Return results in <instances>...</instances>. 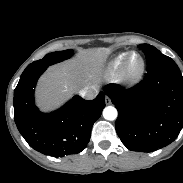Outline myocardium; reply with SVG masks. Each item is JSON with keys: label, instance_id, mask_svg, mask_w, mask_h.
I'll list each match as a JSON object with an SVG mask.
<instances>
[{"label": "myocardium", "instance_id": "obj_1", "mask_svg": "<svg viewBox=\"0 0 183 183\" xmlns=\"http://www.w3.org/2000/svg\"><path fill=\"white\" fill-rule=\"evenodd\" d=\"M136 56L139 59V64L135 69L130 67L132 57ZM145 72V60L143 56L137 51H131L127 54L125 60L120 68L118 79L126 86H132L138 83Z\"/></svg>", "mask_w": 183, "mask_h": 183}]
</instances>
